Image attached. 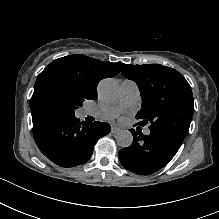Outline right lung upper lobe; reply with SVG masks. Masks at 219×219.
Instances as JSON below:
<instances>
[{
  "instance_id": "right-lung-upper-lobe-1",
  "label": "right lung upper lobe",
  "mask_w": 219,
  "mask_h": 219,
  "mask_svg": "<svg viewBox=\"0 0 219 219\" xmlns=\"http://www.w3.org/2000/svg\"><path fill=\"white\" fill-rule=\"evenodd\" d=\"M123 63L100 61L85 55H70L51 62L37 77L34 91L48 79H60L77 87L85 99H97V85L117 75Z\"/></svg>"
}]
</instances>
